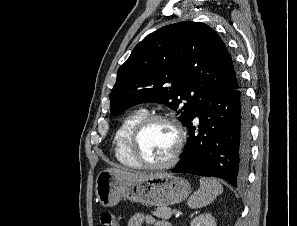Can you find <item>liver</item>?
<instances>
[{
	"mask_svg": "<svg viewBox=\"0 0 297 226\" xmlns=\"http://www.w3.org/2000/svg\"><path fill=\"white\" fill-rule=\"evenodd\" d=\"M106 170L114 173L118 178L127 179V180L146 179V178L156 175V174L147 175V174L139 173V172H129V171H124V170L115 169V168H109Z\"/></svg>",
	"mask_w": 297,
	"mask_h": 226,
	"instance_id": "6515ba94",
	"label": "liver"
}]
</instances>
